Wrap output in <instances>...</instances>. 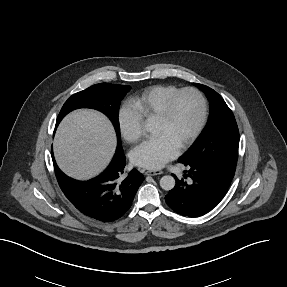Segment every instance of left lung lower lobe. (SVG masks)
Instances as JSON below:
<instances>
[{
  "instance_id": "left-lung-lower-lobe-1",
  "label": "left lung lower lobe",
  "mask_w": 287,
  "mask_h": 287,
  "mask_svg": "<svg viewBox=\"0 0 287 287\" xmlns=\"http://www.w3.org/2000/svg\"><path fill=\"white\" fill-rule=\"evenodd\" d=\"M192 182L176 179L175 187L165 196L175 212L189 217L201 216L212 210L225 196L235 170L202 163L187 165ZM187 171H185L186 173Z\"/></svg>"
}]
</instances>
